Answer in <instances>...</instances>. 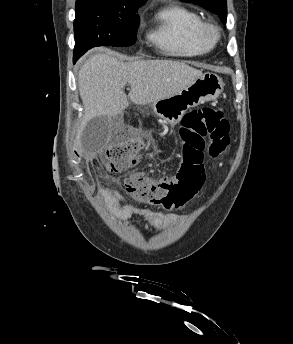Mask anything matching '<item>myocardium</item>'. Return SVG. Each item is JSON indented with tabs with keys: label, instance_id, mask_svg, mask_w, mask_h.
<instances>
[{
	"label": "myocardium",
	"instance_id": "1",
	"mask_svg": "<svg viewBox=\"0 0 293 344\" xmlns=\"http://www.w3.org/2000/svg\"><path fill=\"white\" fill-rule=\"evenodd\" d=\"M202 37L210 45H215L220 38V29L213 23H203Z\"/></svg>",
	"mask_w": 293,
	"mask_h": 344
}]
</instances>
